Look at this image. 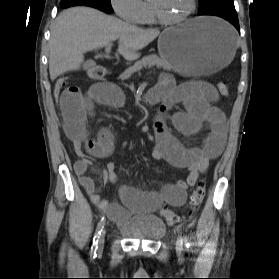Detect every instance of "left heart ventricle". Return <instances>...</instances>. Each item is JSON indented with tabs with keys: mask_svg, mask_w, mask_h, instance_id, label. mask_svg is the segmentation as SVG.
I'll list each match as a JSON object with an SVG mask.
<instances>
[{
	"mask_svg": "<svg viewBox=\"0 0 279 279\" xmlns=\"http://www.w3.org/2000/svg\"><path fill=\"white\" fill-rule=\"evenodd\" d=\"M164 16L178 18L190 7V0H153Z\"/></svg>",
	"mask_w": 279,
	"mask_h": 279,
	"instance_id": "left-heart-ventricle-1",
	"label": "left heart ventricle"
}]
</instances>
